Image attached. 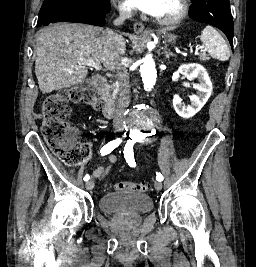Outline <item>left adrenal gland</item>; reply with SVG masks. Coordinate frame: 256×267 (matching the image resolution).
<instances>
[{
    "mask_svg": "<svg viewBox=\"0 0 256 267\" xmlns=\"http://www.w3.org/2000/svg\"><path fill=\"white\" fill-rule=\"evenodd\" d=\"M168 46V44H167ZM167 46H165L164 48V54L166 56V58H170V56H175V54H173V52H170V50H168Z\"/></svg>",
    "mask_w": 256,
    "mask_h": 267,
    "instance_id": "1",
    "label": "left adrenal gland"
}]
</instances>
